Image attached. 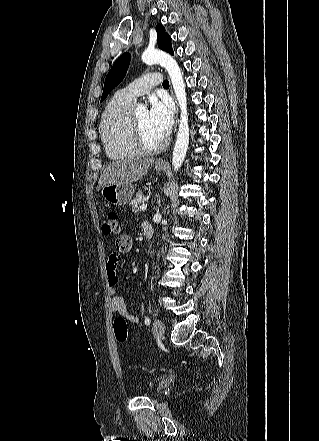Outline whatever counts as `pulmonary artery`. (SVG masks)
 I'll return each mask as SVG.
<instances>
[{
    "mask_svg": "<svg viewBox=\"0 0 319 441\" xmlns=\"http://www.w3.org/2000/svg\"><path fill=\"white\" fill-rule=\"evenodd\" d=\"M162 82V76L159 73L146 74L120 90L118 94L129 101L135 102L138 97L147 94L152 87L161 85Z\"/></svg>",
    "mask_w": 319,
    "mask_h": 441,
    "instance_id": "obj_1",
    "label": "pulmonary artery"
}]
</instances>
